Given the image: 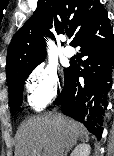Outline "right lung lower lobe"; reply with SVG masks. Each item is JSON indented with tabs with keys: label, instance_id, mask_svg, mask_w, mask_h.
<instances>
[{
	"label": "right lung lower lobe",
	"instance_id": "right-lung-lower-lobe-1",
	"mask_svg": "<svg viewBox=\"0 0 114 156\" xmlns=\"http://www.w3.org/2000/svg\"><path fill=\"white\" fill-rule=\"evenodd\" d=\"M73 46H80L81 55L87 59L83 61V69L77 64L70 65L64 88L54 103L61 104L65 115L83 123L100 139L114 68V34L104 8L78 34ZM79 76L84 81L80 82Z\"/></svg>",
	"mask_w": 114,
	"mask_h": 156
}]
</instances>
